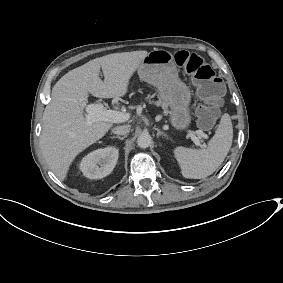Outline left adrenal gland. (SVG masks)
<instances>
[{"mask_svg": "<svg viewBox=\"0 0 283 283\" xmlns=\"http://www.w3.org/2000/svg\"><path fill=\"white\" fill-rule=\"evenodd\" d=\"M155 130H157V132H158V133H157V137H161V136H162L165 140L168 139L167 135L161 133L160 130H159V128H156V127H155Z\"/></svg>", "mask_w": 283, "mask_h": 283, "instance_id": "1", "label": "left adrenal gland"}]
</instances>
